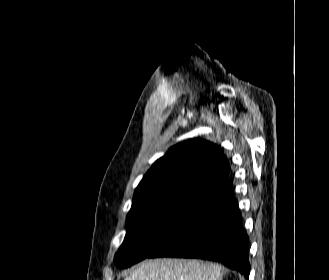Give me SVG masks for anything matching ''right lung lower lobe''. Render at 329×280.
I'll use <instances>...</instances> for the list:
<instances>
[{
  "mask_svg": "<svg viewBox=\"0 0 329 280\" xmlns=\"http://www.w3.org/2000/svg\"><path fill=\"white\" fill-rule=\"evenodd\" d=\"M248 236L228 182L148 258L182 257L218 261L249 277Z\"/></svg>",
  "mask_w": 329,
  "mask_h": 280,
  "instance_id": "98d812e1",
  "label": "right lung lower lobe"
}]
</instances>
